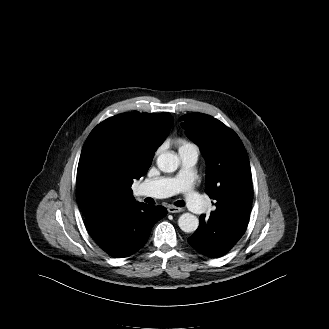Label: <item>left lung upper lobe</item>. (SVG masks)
Segmentation results:
<instances>
[{
  "instance_id": "1",
  "label": "left lung upper lobe",
  "mask_w": 329,
  "mask_h": 329,
  "mask_svg": "<svg viewBox=\"0 0 329 329\" xmlns=\"http://www.w3.org/2000/svg\"><path fill=\"white\" fill-rule=\"evenodd\" d=\"M187 136L199 145L207 164L205 192L215 200L211 217L240 203H250L251 169L238 135L212 116L190 113L181 117Z\"/></svg>"
}]
</instances>
